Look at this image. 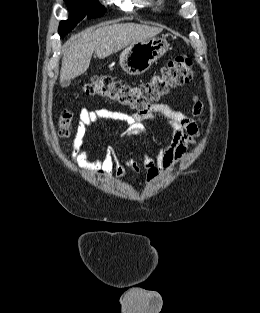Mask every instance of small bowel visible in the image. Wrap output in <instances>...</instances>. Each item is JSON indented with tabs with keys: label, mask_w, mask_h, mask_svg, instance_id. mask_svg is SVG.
Segmentation results:
<instances>
[{
	"label": "small bowel",
	"mask_w": 260,
	"mask_h": 313,
	"mask_svg": "<svg viewBox=\"0 0 260 313\" xmlns=\"http://www.w3.org/2000/svg\"><path fill=\"white\" fill-rule=\"evenodd\" d=\"M202 109V102L197 98L192 101L193 117L162 103L156 104L147 111H138L133 114L108 109L88 110L83 108L79 112L72 143L73 161L78 167L92 173L96 178L103 179L115 174L117 178L122 179L125 176L124 164L111 147L106 148L104 154L95 160L87 159L85 140L90 127L103 119L120 121L126 124L121 135L147 138L150 136V132L144 122L163 118L172 130L169 141L159 146L153 154L145 153L142 157V165L147 172V181L152 182L160 174L169 171L195 144L200 132L198 121L201 119ZM126 164L133 177H137L140 172L137 160L129 157L126 159Z\"/></svg>",
	"instance_id": "obj_1"
}]
</instances>
